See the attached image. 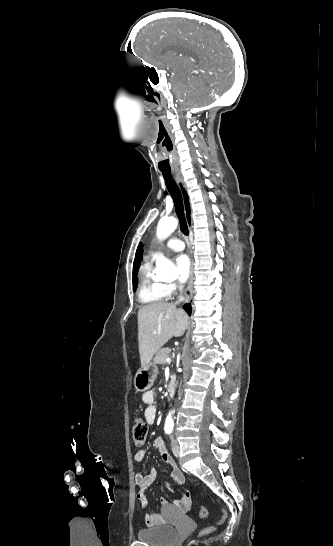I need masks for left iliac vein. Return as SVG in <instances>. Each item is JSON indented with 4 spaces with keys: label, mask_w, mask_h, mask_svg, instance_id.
<instances>
[{
    "label": "left iliac vein",
    "mask_w": 333,
    "mask_h": 546,
    "mask_svg": "<svg viewBox=\"0 0 333 546\" xmlns=\"http://www.w3.org/2000/svg\"><path fill=\"white\" fill-rule=\"evenodd\" d=\"M172 452L175 457H178L180 454L179 444L174 439L172 440Z\"/></svg>",
    "instance_id": "1"
}]
</instances>
